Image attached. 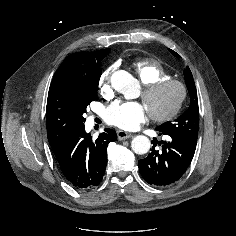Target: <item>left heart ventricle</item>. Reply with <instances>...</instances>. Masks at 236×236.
Wrapping results in <instances>:
<instances>
[{"instance_id": "obj_1", "label": "left heart ventricle", "mask_w": 236, "mask_h": 236, "mask_svg": "<svg viewBox=\"0 0 236 236\" xmlns=\"http://www.w3.org/2000/svg\"><path fill=\"white\" fill-rule=\"evenodd\" d=\"M179 90L175 86H167L145 101L148 111L158 114L167 111L177 100Z\"/></svg>"}]
</instances>
